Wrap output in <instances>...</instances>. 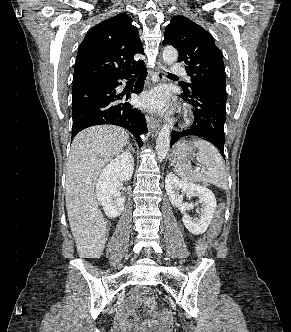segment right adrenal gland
<instances>
[{
	"mask_svg": "<svg viewBox=\"0 0 291 332\" xmlns=\"http://www.w3.org/2000/svg\"><path fill=\"white\" fill-rule=\"evenodd\" d=\"M128 150H132V146H131V144L129 142H128Z\"/></svg>",
	"mask_w": 291,
	"mask_h": 332,
	"instance_id": "2a0ac1e0",
	"label": "right adrenal gland"
}]
</instances>
